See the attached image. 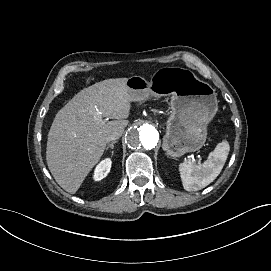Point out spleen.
Listing matches in <instances>:
<instances>
[{
  "instance_id": "1",
  "label": "spleen",
  "mask_w": 271,
  "mask_h": 271,
  "mask_svg": "<svg viewBox=\"0 0 271 271\" xmlns=\"http://www.w3.org/2000/svg\"><path fill=\"white\" fill-rule=\"evenodd\" d=\"M230 151L229 143L224 140L217 144L213 152L203 164L185 161L179 165L184 189L193 191V187H205L220 174Z\"/></svg>"
}]
</instances>
